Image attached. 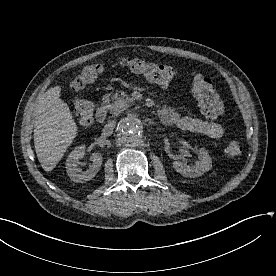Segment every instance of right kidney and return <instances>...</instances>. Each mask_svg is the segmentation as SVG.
I'll return each mask as SVG.
<instances>
[{"label": "right kidney", "instance_id": "ca27d5eb", "mask_svg": "<svg viewBox=\"0 0 276 276\" xmlns=\"http://www.w3.org/2000/svg\"><path fill=\"white\" fill-rule=\"evenodd\" d=\"M85 155V145H81L73 150L66 160V171L68 176L74 182H85L91 180L100 170L102 164V156L100 153L91 155L92 164L85 171L78 167L79 160Z\"/></svg>", "mask_w": 276, "mask_h": 276}]
</instances>
